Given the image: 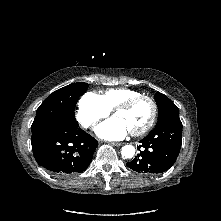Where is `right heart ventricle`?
Instances as JSON below:
<instances>
[{
  "label": "right heart ventricle",
  "mask_w": 221,
  "mask_h": 221,
  "mask_svg": "<svg viewBox=\"0 0 221 221\" xmlns=\"http://www.w3.org/2000/svg\"><path fill=\"white\" fill-rule=\"evenodd\" d=\"M140 94L141 93L139 91L129 88H113L105 91L101 95V98L107 108L112 111L122 102Z\"/></svg>",
  "instance_id": "e07e8e85"
}]
</instances>
